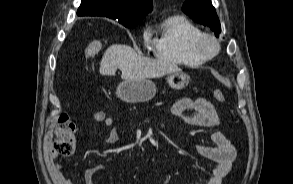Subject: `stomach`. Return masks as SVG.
Wrapping results in <instances>:
<instances>
[{
  "mask_svg": "<svg viewBox=\"0 0 293 184\" xmlns=\"http://www.w3.org/2000/svg\"><path fill=\"white\" fill-rule=\"evenodd\" d=\"M190 77L184 72H173L167 77L169 86L175 90L185 88ZM117 97L126 103H141L151 100L156 94L155 83L148 79H130L120 83L116 90Z\"/></svg>",
  "mask_w": 293,
  "mask_h": 184,
  "instance_id": "stomach-1",
  "label": "stomach"
}]
</instances>
